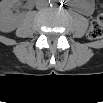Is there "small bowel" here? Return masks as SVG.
<instances>
[{"mask_svg":"<svg viewBox=\"0 0 103 103\" xmlns=\"http://www.w3.org/2000/svg\"><path fill=\"white\" fill-rule=\"evenodd\" d=\"M77 9L80 13L90 16L93 14L94 5L91 2H82L77 5Z\"/></svg>","mask_w":103,"mask_h":103,"instance_id":"c3829d8e","label":"small bowel"}]
</instances>
